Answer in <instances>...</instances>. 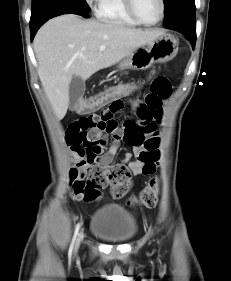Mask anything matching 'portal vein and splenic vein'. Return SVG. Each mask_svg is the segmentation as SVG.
Wrapping results in <instances>:
<instances>
[{"mask_svg":"<svg viewBox=\"0 0 231 281\" xmlns=\"http://www.w3.org/2000/svg\"><path fill=\"white\" fill-rule=\"evenodd\" d=\"M105 48H106V47H105L104 45H101L100 48H99V50H100V51H104Z\"/></svg>","mask_w":231,"mask_h":281,"instance_id":"portal-vein-and-splenic-vein-1","label":"portal vein and splenic vein"}]
</instances>
